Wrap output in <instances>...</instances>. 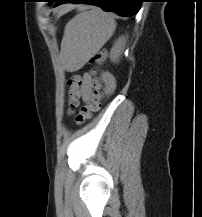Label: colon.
Wrapping results in <instances>:
<instances>
[{
	"mask_svg": "<svg viewBox=\"0 0 202 217\" xmlns=\"http://www.w3.org/2000/svg\"><path fill=\"white\" fill-rule=\"evenodd\" d=\"M107 59V52L105 50H101L95 53L90 61L94 64V68L92 69V73L94 75L97 74L98 69L102 66ZM82 86H83V78L79 74H74L68 80V112L73 113L74 110L79 106L80 99L82 97ZM101 81L96 78L93 84V92L90 100L86 105L80 107L77 115H76V123L78 125L84 124L88 119L91 118L92 113L99 110L101 105Z\"/></svg>",
	"mask_w": 202,
	"mask_h": 217,
	"instance_id": "5ec220e1",
	"label": "colon"
}]
</instances>
